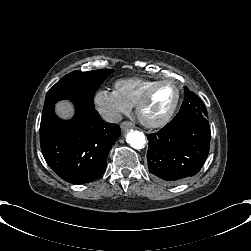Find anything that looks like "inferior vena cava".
I'll list each match as a JSON object with an SVG mask.
<instances>
[{
  "label": "inferior vena cava",
  "instance_id": "obj_1",
  "mask_svg": "<svg viewBox=\"0 0 251 251\" xmlns=\"http://www.w3.org/2000/svg\"><path fill=\"white\" fill-rule=\"evenodd\" d=\"M102 117L106 122L116 123L122 120V115L117 112H103Z\"/></svg>",
  "mask_w": 251,
  "mask_h": 251
}]
</instances>
